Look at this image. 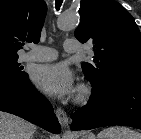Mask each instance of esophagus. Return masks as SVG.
Wrapping results in <instances>:
<instances>
[{"instance_id": "obj_1", "label": "esophagus", "mask_w": 141, "mask_h": 139, "mask_svg": "<svg viewBox=\"0 0 141 139\" xmlns=\"http://www.w3.org/2000/svg\"><path fill=\"white\" fill-rule=\"evenodd\" d=\"M56 116H57L58 121H59L60 125L62 126V128L66 129L68 127V123H69V118H68L66 112L62 108L58 107L56 109Z\"/></svg>"}]
</instances>
